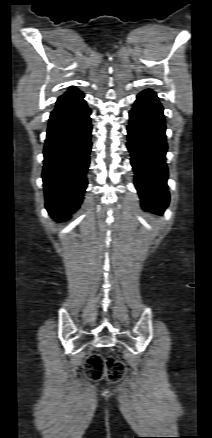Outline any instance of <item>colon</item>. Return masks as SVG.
Listing matches in <instances>:
<instances>
[{
  "label": "colon",
  "instance_id": "1",
  "mask_svg": "<svg viewBox=\"0 0 212 438\" xmlns=\"http://www.w3.org/2000/svg\"><path fill=\"white\" fill-rule=\"evenodd\" d=\"M84 369L87 377L94 381L107 378L116 382L121 380L126 373V367L122 361L100 354L90 355L85 361Z\"/></svg>",
  "mask_w": 212,
  "mask_h": 438
}]
</instances>
